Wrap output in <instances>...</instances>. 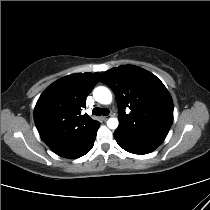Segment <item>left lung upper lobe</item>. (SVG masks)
<instances>
[{
    "mask_svg": "<svg viewBox=\"0 0 210 210\" xmlns=\"http://www.w3.org/2000/svg\"><path fill=\"white\" fill-rule=\"evenodd\" d=\"M100 81L114 92L119 108L115 133L161 144L173 122V101L164 84L137 66L123 65L106 71ZM129 108L130 112H126Z\"/></svg>",
    "mask_w": 210,
    "mask_h": 210,
    "instance_id": "1",
    "label": "left lung upper lobe"
}]
</instances>
